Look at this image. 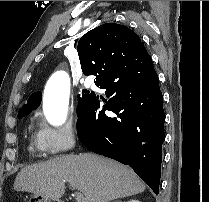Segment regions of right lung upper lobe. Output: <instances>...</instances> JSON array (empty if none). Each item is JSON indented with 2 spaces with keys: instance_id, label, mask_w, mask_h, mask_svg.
<instances>
[{
  "instance_id": "right-lung-upper-lobe-1",
  "label": "right lung upper lobe",
  "mask_w": 209,
  "mask_h": 202,
  "mask_svg": "<svg viewBox=\"0 0 209 202\" xmlns=\"http://www.w3.org/2000/svg\"><path fill=\"white\" fill-rule=\"evenodd\" d=\"M78 55L86 76L95 75L98 85L112 80L115 86H123L131 75L142 74V58L151 59L140 37L116 23L102 24L83 35L78 42ZM41 99V92L33 93L23 108H37Z\"/></svg>"
}]
</instances>
